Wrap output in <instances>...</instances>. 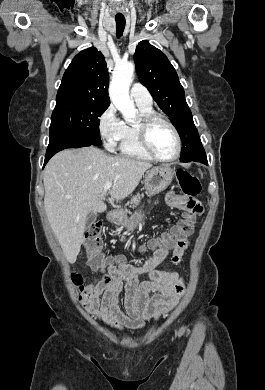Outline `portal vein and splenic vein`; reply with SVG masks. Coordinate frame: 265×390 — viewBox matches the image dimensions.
I'll list each match as a JSON object with an SVG mask.
<instances>
[{
    "instance_id": "1",
    "label": "portal vein and splenic vein",
    "mask_w": 265,
    "mask_h": 390,
    "mask_svg": "<svg viewBox=\"0 0 265 390\" xmlns=\"http://www.w3.org/2000/svg\"><path fill=\"white\" fill-rule=\"evenodd\" d=\"M112 187V182H107L105 185H104V191L103 193L100 195V197H104L107 193L108 190H110V188Z\"/></svg>"
}]
</instances>
